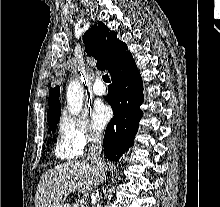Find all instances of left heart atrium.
Returning a JSON list of instances; mask_svg holds the SVG:
<instances>
[{"instance_id":"1","label":"left heart atrium","mask_w":220,"mask_h":207,"mask_svg":"<svg viewBox=\"0 0 220 207\" xmlns=\"http://www.w3.org/2000/svg\"><path fill=\"white\" fill-rule=\"evenodd\" d=\"M110 118H111V112L108 107L104 105L95 106L92 112V123L96 129L98 130L104 129Z\"/></svg>"}]
</instances>
